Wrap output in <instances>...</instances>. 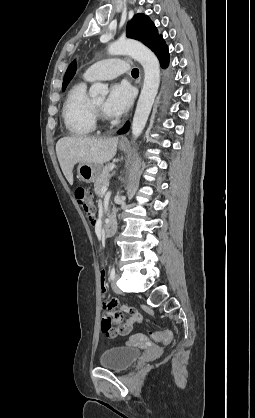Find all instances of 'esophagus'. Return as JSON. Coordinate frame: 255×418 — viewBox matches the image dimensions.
<instances>
[{
	"label": "esophagus",
	"instance_id": "34e87169",
	"mask_svg": "<svg viewBox=\"0 0 255 418\" xmlns=\"http://www.w3.org/2000/svg\"><path fill=\"white\" fill-rule=\"evenodd\" d=\"M127 141V139H126V137L125 136H122L121 138H120V143H125Z\"/></svg>",
	"mask_w": 255,
	"mask_h": 418
}]
</instances>
